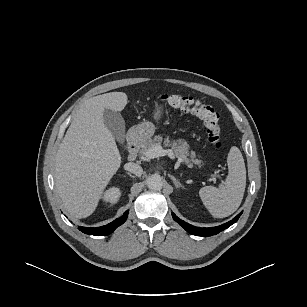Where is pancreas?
<instances>
[{"instance_id":"obj_1","label":"pancreas","mask_w":307,"mask_h":307,"mask_svg":"<svg viewBox=\"0 0 307 307\" xmlns=\"http://www.w3.org/2000/svg\"><path fill=\"white\" fill-rule=\"evenodd\" d=\"M163 138L160 135L154 136V138H150L145 141L139 150V155L142 160H147L146 152L155 145H160ZM165 146H170L171 150L174 152V156L178 158L179 162H184L188 166L192 165V162L195 164H200V160H194V154L189 152V145L182 139L174 140L170 142L169 138L167 137L163 143ZM191 156V159L188 156Z\"/></svg>"}]
</instances>
